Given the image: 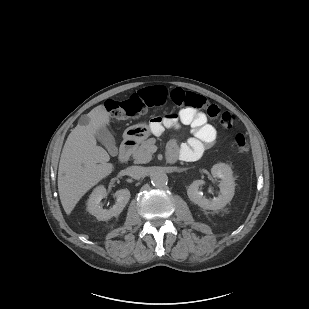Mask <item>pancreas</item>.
<instances>
[{"label":"pancreas","instance_id":"1","mask_svg":"<svg viewBox=\"0 0 309 309\" xmlns=\"http://www.w3.org/2000/svg\"><path fill=\"white\" fill-rule=\"evenodd\" d=\"M156 143L155 138H149L143 141L140 147L133 152V159L135 164H145L152 159L150 148Z\"/></svg>","mask_w":309,"mask_h":309}]
</instances>
